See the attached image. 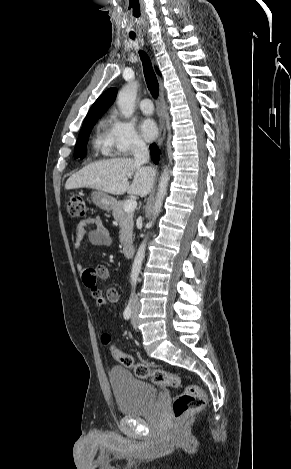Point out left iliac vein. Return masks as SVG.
Masks as SVG:
<instances>
[{"label":"left iliac vein","instance_id":"4c4485c4","mask_svg":"<svg viewBox=\"0 0 291 469\" xmlns=\"http://www.w3.org/2000/svg\"><path fill=\"white\" fill-rule=\"evenodd\" d=\"M137 316H138V307L135 306L133 308V312H132V316H131V323H132L134 328H136V326H137Z\"/></svg>","mask_w":291,"mask_h":469}]
</instances>
